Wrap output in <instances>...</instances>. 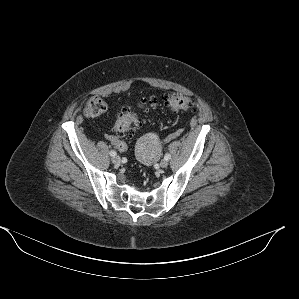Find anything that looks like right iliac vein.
Returning a JSON list of instances; mask_svg holds the SVG:
<instances>
[{"label": "right iliac vein", "mask_w": 299, "mask_h": 299, "mask_svg": "<svg viewBox=\"0 0 299 299\" xmlns=\"http://www.w3.org/2000/svg\"><path fill=\"white\" fill-rule=\"evenodd\" d=\"M112 163L115 164V165H120V163H121L120 157L119 156H114L112 158Z\"/></svg>", "instance_id": "obj_1"}]
</instances>
